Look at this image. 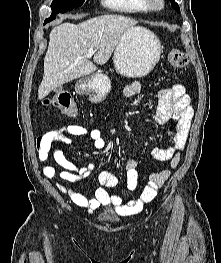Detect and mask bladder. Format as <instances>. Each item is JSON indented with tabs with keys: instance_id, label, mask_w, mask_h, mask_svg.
Instances as JSON below:
<instances>
[{
	"instance_id": "31cf9c89",
	"label": "bladder",
	"mask_w": 221,
	"mask_h": 263,
	"mask_svg": "<svg viewBox=\"0 0 221 263\" xmlns=\"http://www.w3.org/2000/svg\"><path fill=\"white\" fill-rule=\"evenodd\" d=\"M100 220L103 222H115L116 217L114 215H103Z\"/></svg>"
}]
</instances>
